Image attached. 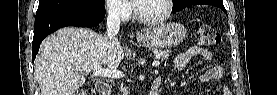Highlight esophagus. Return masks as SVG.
I'll return each mask as SVG.
<instances>
[{
    "instance_id": "1",
    "label": "esophagus",
    "mask_w": 277,
    "mask_h": 95,
    "mask_svg": "<svg viewBox=\"0 0 277 95\" xmlns=\"http://www.w3.org/2000/svg\"><path fill=\"white\" fill-rule=\"evenodd\" d=\"M137 36L139 37V36H140V33H137Z\"/></svg>"
}]
</instances>
